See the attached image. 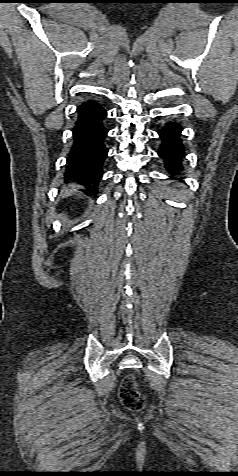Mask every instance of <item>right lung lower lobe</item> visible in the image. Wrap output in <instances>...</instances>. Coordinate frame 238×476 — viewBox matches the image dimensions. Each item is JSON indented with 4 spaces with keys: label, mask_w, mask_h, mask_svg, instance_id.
Masks as SVG:
<instances>
[{
    "label": "right lung lower lobe",
    "mask_w": 238,
    "mask_h": 476,
    "mask_svg": "<svg viewBox=\"0 0 238 476\" xmlns=\"http://www.w3.org/2000/svg\"><path fill=\"white\" fill-rule=\"evenodd\" d=\"M73 128V143L68 155L66 176L87 184L93 192L103 175V163L108 155L105 125L106 110L94 99L77 107Z\"/></svg>",
    "instance_id": "98d812e1"
}]
</instances>
